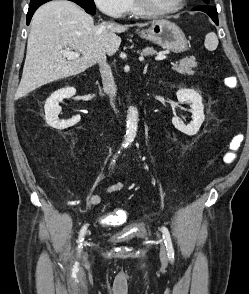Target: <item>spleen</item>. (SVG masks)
Returning a JSON list of instances; mask_svg holds the SVG:
<instances>
[{
  "instance_id": "obj_1",
  "label": "spleen",
  "mask_w": 249,
  "mask_h": 294,
  "mask_svg": "<svg viewBox=\"0 0 249 294\" xmlns=\"http://www.w3.org/2000/svg\"><path fill=\"white\" fill-rule=\"evenodd\" d=\"M218 46V38L217 35L214 32H209L205 37V47L213 51Z\"/></svg>"
}]
</instances>
